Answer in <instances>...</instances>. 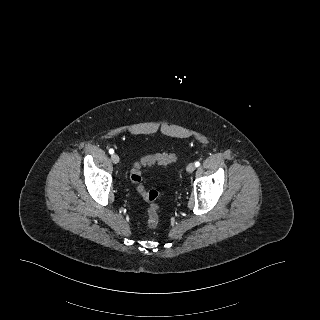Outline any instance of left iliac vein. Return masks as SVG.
I'll return each instance as SVG.
<instances>
[{
    "instance_id": "obj_1",
    "label": "left iliac vein",
    "mask_w": 320,
    "mask_h": 320,
    "mask_svg": "<svg viewBox=\"0 0 320 320\" xmlns=\"http://www.w3.org/2000/svg\"><path fill=\"white\" fill-rule=\"evenodd\" d=\"M195 168H196L195 164L190 163V164H188L186 169H187V172L192 173L195 170Z\"/></svg>"
}]
</instances>
